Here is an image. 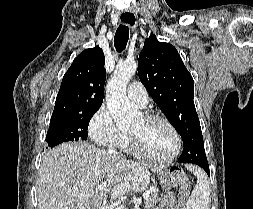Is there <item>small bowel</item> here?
<instances>
[{
  "instance_id": "obj_1",
  "label": "small bowel",
  "mask_w": 253,
  "mask_h": 209,
  "mask_svg": "<svg viewBox=\"0 0 253 209\" xmlns=\"http://www.w3.org/2000/svg\"><path fill=\"white\" fill-rule=\"evenodd\" d=\"M154 209H179L176 206V196L173 192L167 193L159 203V205Z\"/></svg>"
}]
</instances>
